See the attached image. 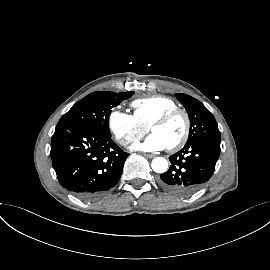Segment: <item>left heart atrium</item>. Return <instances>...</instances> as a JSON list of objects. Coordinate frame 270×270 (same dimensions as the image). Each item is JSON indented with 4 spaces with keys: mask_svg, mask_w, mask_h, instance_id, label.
I'll list each match as a JSON object with an SVG mask.
<instances>
[{
    "mask_svg": "<svg viewBox=\"0 0 270 270\" xmlns=\"http://www.w3.org/2000/svg\"><path fill=\"white\" fill-rule=\"evenodd\" d=\"M135 150L145 152L161 151L167 148L165 142L156 134L152 133L142 141H136L133 145Z\"/></svg>",
    "mask_w": 270,
    "mask_h": 270,
    "instance_id": "39dd6f15",
    "label": "left heart atrium"
}]
</instances>
